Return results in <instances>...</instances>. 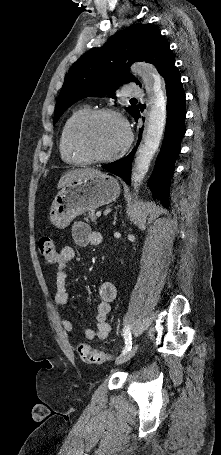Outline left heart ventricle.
<instances>
[{"mask_svg": "<svg viewBox=\"0 0 221 455\" xmlns=\"http://www.w3.org/2000/svg\"><path fill=\"white\" fill-rule=\"evenodd\" d=\"M126 139L125 129L119 119L103 116L88 128L86 144L97 156H107L119 150Z\"/></svg>", "mask_w": 221, "mask_h": 455, "instance_id": "1", "label": "left heart ventricle"}]
</instances>
